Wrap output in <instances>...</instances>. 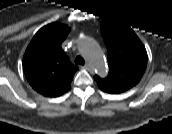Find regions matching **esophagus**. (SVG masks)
<instances>
[{"mask_svg":"<svg viewBox=\"0 0 172 134\" xmlns=\"http://www.w3.org/2000/svg\"><path fill=\"white\" fill-rule=\"evenodd\" d=\"M83 68H85V69H87V70H91V68H90V65H89V64H85V65L83 66Z\"/></svg>","mask_w":172,"mask_h":134,"instance_id":"esophagus-1","label":"esophagus"}]
</instances>
